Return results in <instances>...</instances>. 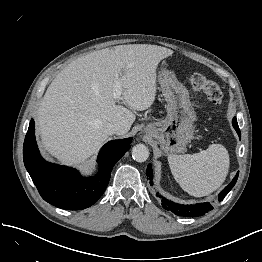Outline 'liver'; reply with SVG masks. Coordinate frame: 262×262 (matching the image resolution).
Returning a JSON list of instances; mask_svg holds the SVG:
<instances>
[{"mask_svg":"<svg viewBox=\"0 0 262 262\" xmlns=\"http://www.w3.org/2000/svg\"><path fill=\"white\" fill-rule=\"evenodd\" d=\"M171 49L148 44L119 45L68 64L49 85L37 110L42 147L61 163L77 165L110 136L109 123L126 134L135 111L149 108L156 96V70ZM116 85L121 95L115 98Z\"/></svg>","mask_w":262,"mask_h":262,"instance_id":"liver-1","label":"liver"}]
</instances>
